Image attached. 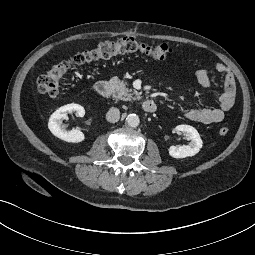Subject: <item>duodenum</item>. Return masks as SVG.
Wrapping results in <instances>:
<instances>
[{
    "label": "duodenum",
    "mask_w": 255,
    "mask_h": 255,
    "mask_svg": "<svg viewBox=\"0 0 255 255\" xmlns=\"http://www.w3.org/2000/svg\"><path fill=\"white\" fill-rule=\"evenodd\" d=\"M95 90L99 95L103 97H108L111 93L110 84L106 80H98L95 83ZM142 109L145 112L152 113L157 109V102L152 99L145 100L142 103Z\"/></svg>",
    "instance_id": "410a0bca"
}]
</instances>
